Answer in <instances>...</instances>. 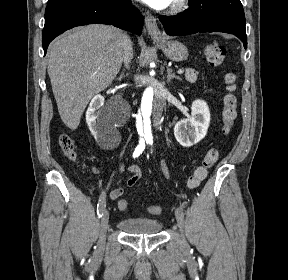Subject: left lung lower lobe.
<instances>
[{
    "label": "left lung lower lobe",
    "mask_w": 288,
    "mask_h": 280,
    "mask_svg": "<svg viewBox=\"0 0 288 280\" xmlns=\"http://www.w3.org/2000/svg\"><path fill=\"white\" fill-rule=\"evenodd\" d=\"M165 31L171 36L197 32H224L237 36L247 48L245 20L235 15L213 9L207 5L189 7L176 16H159Z\"/></svg>",
    "instance_id": "obj_1"
}]
</instances>
